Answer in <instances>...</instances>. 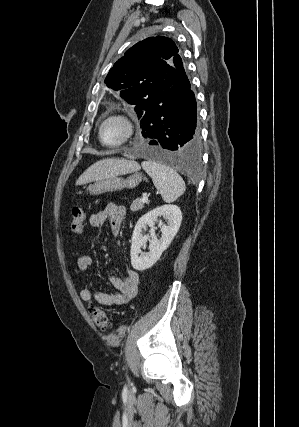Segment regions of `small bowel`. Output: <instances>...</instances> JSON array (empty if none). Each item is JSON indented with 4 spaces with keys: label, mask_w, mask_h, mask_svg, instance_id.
<instances>
[{
    "label": "small bowel",
    "mask_w": 299,
    "mask_h": 427,
    "mask_svg": "<svg viewBox=\"0 0 299 427\" xmlns=\"http://www.w3.org/2000/svg\"><path fill=\"white\" fill-rule=\"evenodd\" d=\"M126 210L123 206L115 203L108 204L103 210L91 214L89 223L92 227H100L109 222L113 235H117L121 229ZM92 258L82 255L78 258L75 273L77 275L90 271ZM110 283L115 288V293H106L99 290H92L91 283L86 281L80 291V298L84 302H91L94 299L101 305L121 306L132 300L138 291L139 274L133 269L125 271L124 278L111 276Z\"/></svg>",
    "instance_id": "obj_1"
}]
</instances>
